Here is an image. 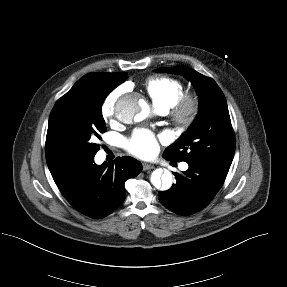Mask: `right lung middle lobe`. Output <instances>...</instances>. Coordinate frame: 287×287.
<instances>
[{"label": "right lung middle lobe", "instance_id": "1", "mask_svg": "<svg viewBox=\"0 0 287 287\" xmlns=\"http://www.w3.org/2000/svg\"><path fill=\"white\" fill-rule=\"evenodd\" d=\"M113 90L97 79L75 84L54 105L46 136V160L74 168L95 156L106 131L102 104Z\"/></svg>", "mask_w": 287, "mask_h": 287}]
</instances>
